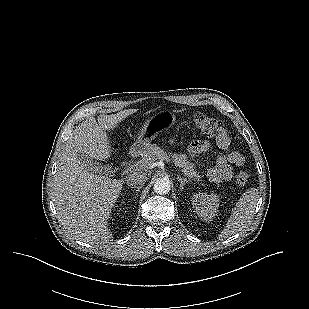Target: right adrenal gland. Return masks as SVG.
Returning a JSON list of instances; mask_svg holds the SVG:
<instances>
[{
	"instance_id": "2a0ac1e0",
	"label": "right adrenal gland",
	"mask_w": 309,
	"mask_h": 309,
	"mask_svg": "<svg viewBox=\"0 0 309 309\" xmlns=\"http://www.w3.org/2000/svg\"><path fill=\"white\" fill-rule=\"evenodd\" d=\"M132 188H134L135 192L137 193V192H139V191H140L141 186H138V187H132ZM136 195H137V194H136Z\"/></svg>"
}]
</instances>
